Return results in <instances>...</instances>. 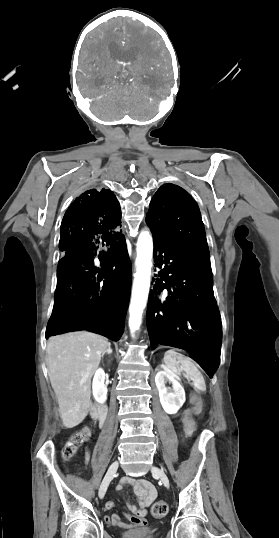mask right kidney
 <instances>
[{"instance_id": "right-kidney-1", "label": "right kidney", "mask_w": 279, "mask_h": 538, "mask_svg": "<svg viewBox=\"0 0 279 538\" xmlns=\"http://www.w3.org/2000/svg\"><path fill=\"white\" fill-rule=\"evenodd\" d=\"M104 380L105 372L99 368L93 378V396L99 404H104L107 400V388H105Z\"/></svg>"}]
</instances>
